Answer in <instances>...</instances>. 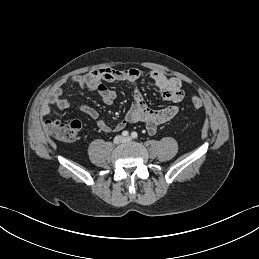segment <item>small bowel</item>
Returning a JSON list of instances; mask_svg holds the SVG:
<instances>
[{"instance_id": "1", "label": "small bowel", "mask_w": 259, "mask_h": 259, "mask_svg": "<svg viewBox=\"0 0 259 259\" xmlns=\"http://www.w3.org/2000/svg\"><path fill=\"white\" fill-rule=\"evenodd\" d=\"M144 76L147 77L148 84L157 89L161 93L163 100L170 102V105L161 109H152L147 106L139 88V81ZM68 82L78 84L89 91L97 92L106 105H111L115 101L117 92L107 87L104 82H122L133 86L131 107L125 117L117 123L114 128L115 131H121L128 124L144 123L147 132L150 135H154L159 125L170 121L176 116L179 111V104L184 99V91L180 80L175 77H168L158 70H151L145 73L135 67L126 69L105 67L87 74L72 76L68 79ZM72 105L90 119L96 121L102 132L110 133L113 130L92 106L81 102L73 104L65 99L62 86H57L53 89L51 99L41 109V115H48L53 108L66 109Z\"/></svg>"}]
</instances>
